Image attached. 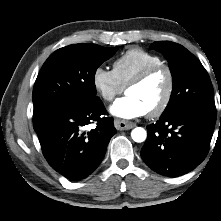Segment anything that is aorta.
Listing matches in <instances>:
<instances>
[{"label": "aorta", "mask_w": 221, "mask_h": 221, "mask_svg": "<svg viewBox=\"0 0 221 221\" xmlns=\"http://www.w3.org/2000/svg\"><path fill=\"white\" fill-rule=\"evenodd\" d=\"M131 137L135 142L141 143L146 140L147 132L142 127H136L132 130Z\"/></svg>", "instance_id": "obj_1"}]
</instances>
